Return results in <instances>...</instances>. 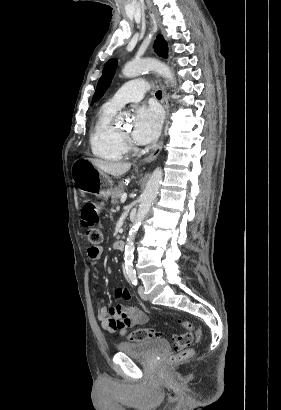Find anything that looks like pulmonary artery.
Here are the masks:
<instances>
[{
  "mask_svg": "<svg viewBox=\"0 0 281 410\" xmlns=\"http://www.w3.org/2000/svg\"><path fill=\"white\" fill-rule=\"evenodd\" d=\"M150 89V85L143 79H135L126 82L119 90L104 104L112 110H120L129 102L140 101L145 92Z\"/></svg>",
  "mask_w": 281,
  "mask_h": 410,
  "instance_id": "pulmonary-artery-1",
  "label": "pulmonary artery"
}]
</instances>
